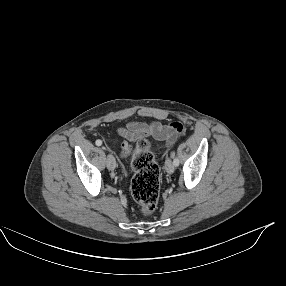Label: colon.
Returning a JSON list of instances; mask_svg holds the SVG:
<instances>
[{
	"instance_id": "obj_1",
	"label": "colon",
	"mask_w": 286,
	"mask_h": 286,
	"mask_svg": "<svg viewBox=\"0 0 286 286\" xmlns=\"http://www.w3.org/2000/svg\"><path fill=\"white\" fill-rule=\"evenodd\" d=\"M141 148H145V142H141ZM135 175L131 182V194L140 206V212L151 215L157 208L160 190V172L154 163L152 156L142 151L132 160Z\"/></svg>"
}]
</instances>
